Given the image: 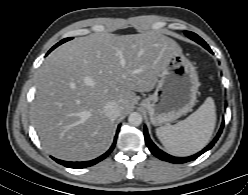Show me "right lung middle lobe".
<instances>
[{
  "label": "right lung middle lobe",
  "mask_w": 248,
  "mask_h": 195,
  "mask_svg": "<svg viewBox=\"0 0 248 195\" xmlns=\"http://www.w3.org/2000/svg\"><path fill=\"white\" fill-rule=\"evenodd\" d=\"M71 39H72V37H70V38H65V39L61 40V41H60L59 43H57L50 51H52L54 48H56V47L59 46L60 44L66 42V41H69V40H71Z\"/></svg>",
  "instance_id": "obj_1"
}]
</instances>
